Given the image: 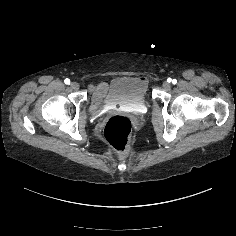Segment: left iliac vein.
<instances>
[{"mask_svg":"<svg viewBox=\"0 0 236 236\" xmlns=\"http://www.w3.org/2000/svg\"><path fill=\"white\" fill-rule=\"evenodd\" d=\"M162 86L164 89H169L171 87V84L169 82L165 81V82H163Z\"/></svg>","mask_w":236,"mask_h":236,"instance_id":"left-iliac-vein-1","label":"left iliac vein"}]
</instances>
